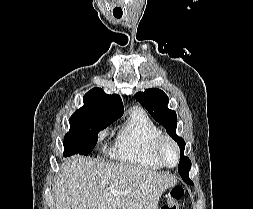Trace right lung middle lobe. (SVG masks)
Listing matches in <instances>:
<instances>
[{
	"mask_svg": "<svg viewBox=\"0 0 253 209\" xmlns=\"http://www.w3.org/2000/svg\"><path fill=\"white\" fill-rule=\"evenodd\" d=\"M118 118L106 119L100 116H87L70 120V130L64 137V156L75 154L88 155L98 140V132Z\"/></svg>",
	"mask_w": 253,
	"mask_h": 209,
	"instance_id": "1",
	"label": "right lung middle lobe"
}]
</instances>
